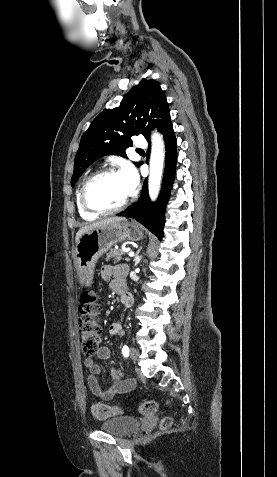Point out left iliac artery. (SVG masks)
I'll return each mask as SVG.
<instances>
[{
    "label": "left iliac artery",
    "instance_id": "obj_1",
    "mask_svg": "<svg viewBox=\"0 0 277 477\" xmlns=\"http://www.w3.org/2000/svg\"><path fill=\"white\" fill-rule=\"evenodd\" d=\"M122 353L124 355V357H128L129 356V348L127 345H124L123 348H122Z\"/></svg>",
    "mask_w": 277,
    "mask_h": 477
}]
</instances>
